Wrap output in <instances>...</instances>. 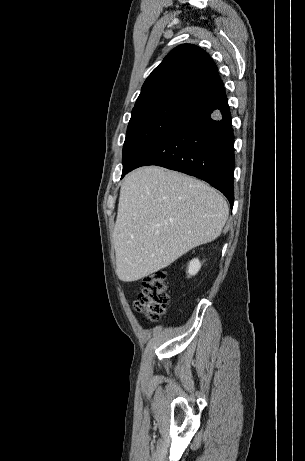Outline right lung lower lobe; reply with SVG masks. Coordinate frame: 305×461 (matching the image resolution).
Wrapping results in <instances>:
<instances>
[{"instance_id": "obj_1", "label": "right lung lower lobe", "mask_w": 305, "mask_h": 461, "mask_svg": "<svg viewBox=\"0 0 305 461\" xmlns=\"http://www.w3.org/2000/svg\"><path fill=\"white\" fill-rule=\"evenodd\" d=\"M158 165L200 178L221 191L233 206L234 135L225 89L189 107L167 135L145 152L129 171Z\"/></svg>"}]
</instances>
